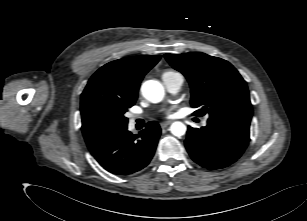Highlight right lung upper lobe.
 <instances>
[{
  "mask_svg": "<svg viewBox=\"0 0 307 221\" xmlns=\"http://www.w3.org/2000/svg\"><path fill=\"white\" fill-rule=\"evenodd\" d=\"M160 55L134 56L112 61L102 66L88 81L81 95L82 131L88 149L99 140L86 128L87 102L95 95H104L126 101H136L144 75L160 60Z\"/></svg>",
  "mask_w": 307,
  "mask_h": 221,
  "instance_id": "obj_1",
  "label": "right lung upper lobe"
}]
</instances>
